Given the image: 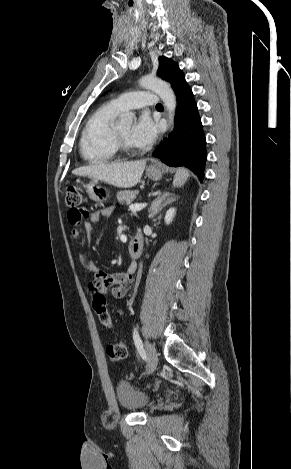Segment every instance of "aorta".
<instances>
[{
	"mask_svg": "<svg viewBox=\"0 0 291 469\" xmlns=\"http://www.w3.org/2000/svg\"><path fill=\"white\" fill-rule=\"evenodd\" d=\"M139 84L141 87L151 90L157 95L160 96L164 105L168 111L169 121L173 123L174 115L176 110V97L174 91L172 90L171 86L153 76H145L139 80ZM134 119V114L132 113H123L119 117L117 124L122 127H131L132 122Z\"/></svg>",
	"mask_w": 291,
	"mask_h": 469,
	"instance_id": "1",
	"label": "aorta"
}]
</instances>
